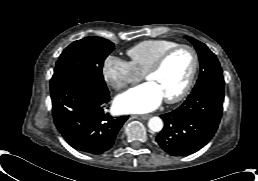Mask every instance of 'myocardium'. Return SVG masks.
<instances>
[{"instance_id": "f54148a6", "label": "myocardium", "mask_w": 258, "mask_h": 181, "mask_svg": "<svg viewBox=\"0 0 258 181\" xmlns=\"http://www.w3.org/2000/svg\"><path fill=\"white\" fill-rule=\"evenodd\" d=\"M181 49H186L191 53L192 59H193V65H192V69H191L189 78H188L184 88L177 95H175L173 97L165 98V101L169 104H174V103L180 102L189 94L190 90L192 89V86L194 84V81H195V78H196V75H197V72L199 69V56H198L196 50L188 44H177L176 46L164 51L145 73V79H147L150 75L159 72L162 69V67L164 66L167 59L171 55H173L175 52H177Z\"/></svg>"}]
</instances>
